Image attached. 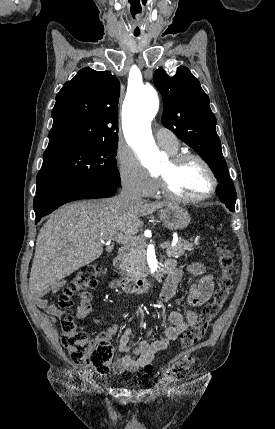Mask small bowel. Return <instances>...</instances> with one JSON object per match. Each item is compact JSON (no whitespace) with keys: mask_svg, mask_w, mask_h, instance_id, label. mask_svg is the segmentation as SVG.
I'll return each instance as SVG.
<instances>
[{"mask_svg":"<svg viewBox=\"0 0 275 429\" xmlns=\"http://www.w3.org/2000/svg\"><path fill=\"white\" fill-rule=\"evenodd\" d=\"M169 276L161 290L160 299L163 302L170 301L176 292L178 283L181 279V270L176 267L175 261L168 260ZM189 271L194 275H201V278L194 282L190 288L186 298L188 309L184 314L179 311H171L168 315L170 325L165 328L164 335L158 340L149 342L142 340L136 345H131V329L124 331L119 339L118 349L121 355L114 361L113 369L116 373L136 372L140 369L150 370L156 353L165 350L189 327H192L197 322V312L195 308L203 306L211 297L214 289L213 276L207 273L206 268L201 263L190 265ZM116 282L111 283V287L116 286ZM61 284L55 283L46 288H39L33 292L35 303L45 310L48 314L61 317L64 311L58 309L55 304L46 298L48 293L55 294L59 291ZM79 305L76 308L77 317L84 319L93 315V307L91 304L92 295L89 292L83 291L78 294ZM94 321L100 324V321L94 318ZM107 332L101 334L109 337L118 331V326L113 324L106 327ZM152 328H148L146 335L151 334Z\"/></svg>","mask_w":275,"mask_h":429,"instance_id":"small-bowel-1","label":"small bowel"}]
</instances>
